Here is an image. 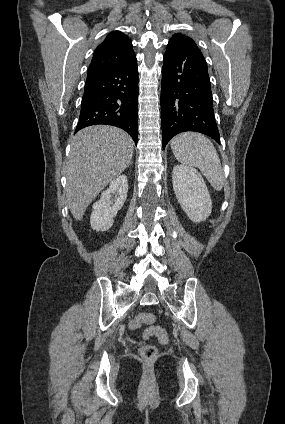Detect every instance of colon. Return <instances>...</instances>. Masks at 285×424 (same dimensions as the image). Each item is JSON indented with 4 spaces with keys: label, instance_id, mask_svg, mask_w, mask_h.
I'll list each match as a JSON object with an SVG mask.
<instances>
[{
    "label": "colon",
    "instance_id": "colon-1",
    "mask_svg": "<svg viewBox=\"0 0 285 424\" xmlns=\"http://www.w3.org/2000/svg\"><path fill=\"white\" fill-rule=\"evenodd\" d=\"M154 321V315L149 312L139 313L131 322L130 328L135 330L144 324H151ZM156 335L161 342H168V333L158 327H150L145 330L144 337L149 338ZM140 356L145 360H153L157 356V349L154 345L144 344L140 348Z\"/></svg>",
    "mask_w": 285,
    "mask_h": 424
}]
</instances>
